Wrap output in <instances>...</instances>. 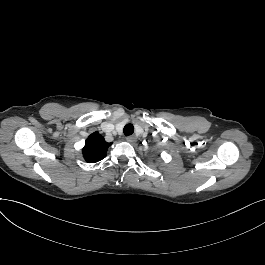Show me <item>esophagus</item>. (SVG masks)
Wrapping results in <instances>:
<instances>
[{
    "label": "esophagus",
    "instance_id": "esophagus-1",
    "mask_svg": "<svg viewBox=\"0 0 265 265\" xmlns=\"http://www.w3.org/2000/svg\"><path fill=\"white\" fill-rule=\"evenodd\" d=\"M126 140L129 142V143H136L137 142V137L135 135H129L127 136Z\"/></svg>",
    "mask_w": 265,
    "mask_h": 265
}]
</instances>
